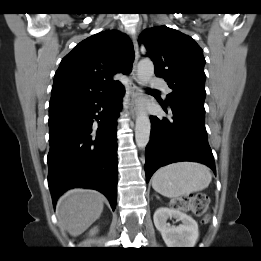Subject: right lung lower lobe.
Wrapping results in <instances>:
<instances>
[{"label": "right lung lower lobe", "mask_w": 261, "mask_h": 261, "mask_svg": "<svg viewBox=\"0 0 261 261\" xmlns=\"http://www.w3.org/2000/svg\"><path fill=\"white\" fill-rule=\"evenodd\" d=\"M125 89L49 108L48 185L53 203L81 186L117 200L116 127Z\"/></svg>", "instance_id": "obj_1"}]
</instances>
